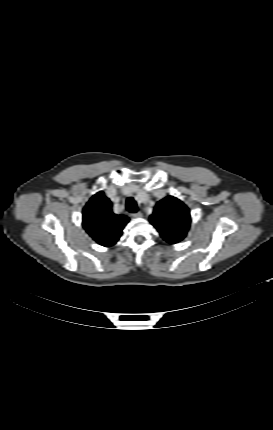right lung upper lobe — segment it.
Returning a JSON list of instances; mask_svg holds the SVG:
<instances>
[{
	"label": "right lung upper lobe",
	"mask_w": 273,
	"mask_h": 430,
	"mask_svg": "<svg viewBox=\"0 0 273 430\" xmlns=\"http://www.w3.org/2000/svg\"><path fill=\"white\" fill-rule=\"evenodd\" d=\"M110 200L103 191L93 195L83 209L82 225L86 232L100 245H114L129 221L125 215H116L111 210Z\"/></svg>",
	"instance_id": "right-lung-upper-lobe-1"
}]
</instances>
